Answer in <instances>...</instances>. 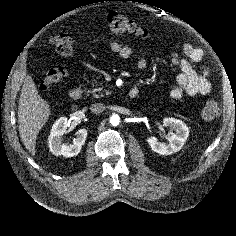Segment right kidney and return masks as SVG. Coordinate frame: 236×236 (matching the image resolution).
Returning <instances> with one entry per match:
<instances>
[{"instance_id": "ca27d5eb", "label": "right kidney", "mask_w": 236, "mask_h": 236, "mask_svg": "<svg viewBox=\"0 0 236 236\" xmlns=\"http://www.w3.org/2000/svg\"><path fill=\"white\" fill-rule=\"evenodd\" d=\"M69 126L66 117L59 118L52 126L51 133L48 138L49 149L55 156L62 155L63 157H73L80 153L82 145L87 138V130L79 129L70 145L62 143V136L67 132Z\"/></svg>"}]
</instances>
